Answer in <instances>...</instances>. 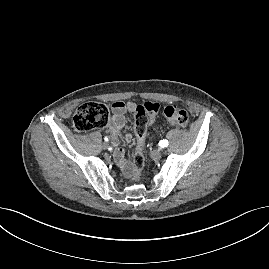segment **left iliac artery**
Returning <instances> with one entry per match:
<instances>
[{
	"label": "left iliac artery",
	"mask_w": 269,
	"mask_h": 269,
	"mask_svg": "<svg viewBox=\"0 0 269 269\" xmlns=\"http://www.w3.org/2000/svg\"><path fill=\"white\" fill-rule=\"evenodd\" d=\"M169 145V142H168V140H162L161 142H160V146L161 147H167Z\"/></svg>",
	"instance_id": "44dca946"
}]
</instances>
